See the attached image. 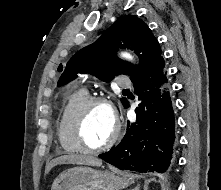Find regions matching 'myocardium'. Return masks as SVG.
<instances>
[{
  "instance_id": "1",
  "label": "myocardium",
  "mask_w": 221,
  "mask_h": 190,
  "mask_svg": "<svg viewBox=\"0 0 221 190\" xmlns=\"http://www.w3.org/2000/svg\"><path fill=\"white\" fill-rule=\"evenodd\" d=\"M95 105H105L112 111L114 115V130L108 141L99 146L92 147L86 143L83 135V129L86 115L90 108ZM70 134L73 142L80 152L98 153L111 148L116 143L120 135V123L112 106V103L105 97L95 96L86 99L78 106L71 118Z\"/></svg>"
}]
</instances>
